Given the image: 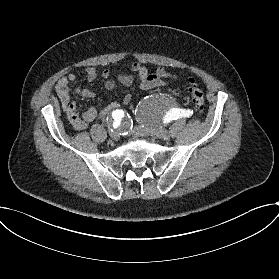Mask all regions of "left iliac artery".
I'll return each instance as SVG.
<instances>
[{
	"label": "left iliac artery",
	"mask_w": 279,
	"mask_h": 279,
	"mask_svg": "<svg viewBox=\"0 0 279 279\" xmlns=\"http://www.w3.org/2000/svg\"><path fill=\"white\" fill-rule=\"evenodd\" d=\"M192 114V110H183L175 108L166 114V116L164 117V123H168L172 120H177L180 117H190Z\"/></svg>",
	"instance_id": "left-iliac-artery-1"
}]
</instances>
